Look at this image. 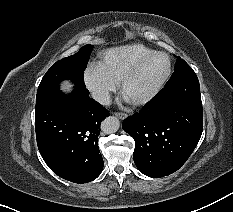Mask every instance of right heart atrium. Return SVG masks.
Returning <instances> with one entry per match:
<instances>
[{
	"label": "right heart atrium",
	"instance_id": "1",
	"mask_svg": "<svg viewBox=\"0 0 233 212\" xmlns=\"http://www.w3.org/2000/svg\"><path fill=\"white\" fill-rule=\"evenodd\" d=\"M83 81L93 99L100 104H107L118 86V82L98 63H92L86 67Z\"/></svg>",
	"mask_w": 233,
	"mask_h": 212
}]
</instances>
